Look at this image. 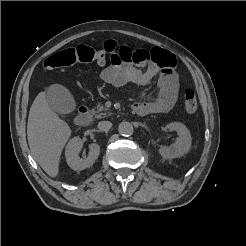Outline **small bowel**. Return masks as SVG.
Masks as SVG:
<instances>
[{"instance_id": "c3829d8e", "label": "small bowel", "mask_w": 246, "mask_h": 246, "mask_svg": "<svg viewBox=\"0 0 246 246\" xmlns=\"http://www.w3.org/2000/svg\"><path fill=\"white\" fill-rule=\"evenodd\" d=\"M104 51L110 55V65L101 72V79L116 87L127 83L147 85L158 76L159 93L151 101L135 103L139 115L162 114L170 111L178 97L179 78L175 56L161 48L134 51L115 40H107Z\"/></svg>"}]
</instances>
